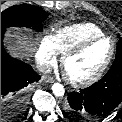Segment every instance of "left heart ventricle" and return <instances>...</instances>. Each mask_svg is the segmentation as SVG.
I'll use <instances>...</instances> for the list:
<instances>
[{"mask_svg": "<svg viewBox=\"0 0 122 122\" xmlns=\"http://www.w3.org/2000/svg\"><path fill=\"white\" fill-rule=\"evenodd\" d=\"M111 43L101 40L90 45L82 53L68 60L65 72L73 79L81 80L93 75L107 60Z\"/></svg>", "mask_w": 122, "mask_h": 122, "instance_id": "b2bd125f", "label": "left heart ventricle"}]
</instances>
